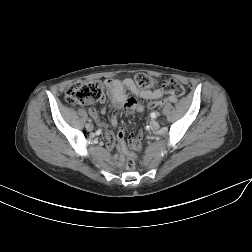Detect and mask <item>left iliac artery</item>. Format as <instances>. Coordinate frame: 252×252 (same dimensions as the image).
<instances>
[{"label": "left iliac artery", "mask_w": 252, "mask_h": 252, "mask_svg": "<svg viewBox=\"0 0 252 252\" xmlns=\"http://www.w3.org/2000/svg\"><path fill=\"white\" fill-rule=\"evenodd\" d=\"M150 116H151L152 118H156V117H157V114H156L155 112H152V113L150 114Z\"/></svg>", "instance_id": "obj_1"}]
</instances>
